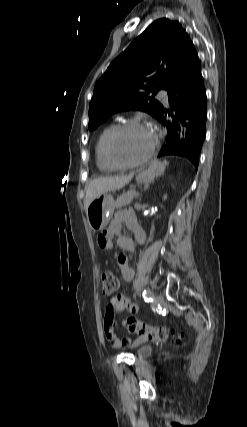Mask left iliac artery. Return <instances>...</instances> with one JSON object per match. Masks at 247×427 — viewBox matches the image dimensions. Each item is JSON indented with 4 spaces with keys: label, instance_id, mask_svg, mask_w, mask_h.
Returning <instances> with one entry per match:
<instances>
[{
    "label": "left iliac artery",
    "instance_id": "obj_1",
    "mask_svg": "<svg viewBox=\"0 0 247 427\" xmlns=\"http://www.w3.org/2000/svg\"><path fill=\"white\" fill-rule=\"evenodd\" d=\"M143 298L146 302H152L153 301V295L149 289L143 291Z\"/></svg>",
    "mask_w": 247,
    "mask_h": 427
}]
</instances>
